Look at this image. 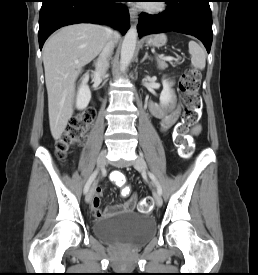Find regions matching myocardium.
I'll use <instances>...</instances> for the list:
<instances>
[{"instance_id": "obj_1", "label": "myocardium", "mask_w": 258, "mask_h": 275, "mask_svg": "<svg viewBox=\"0 0 258 275\" xmlns=\"http://www.w3.org/2000/svg\"><path fill=\"white\" fill-rule=\"evenodd\" d=\"M154 3L145 4L142 6V9L149 13H160L166 9V1L164 0H155Z\"/></svg>"}]
</instances>
